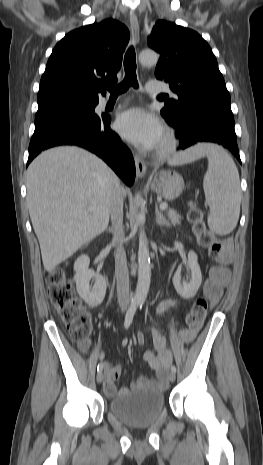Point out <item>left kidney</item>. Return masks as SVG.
<instances>
[{
	"label": "left kidney",
	"instance_id": "obj_1",
	"mask_svg": "<svg viewBox=\"0 0 263 465\" xmlns=\"http://www.w3.org/2000/svg\"><path fill=\"white\" fill-rule=\"evenodd\" d=\"M187 267L191 271V276L188 282L181 281V267L177 269L173 276V285L177 293L184 299L194 297L202 283V274L198 264V257L192 250L188 253Z\"/></svg>",
	"mask_w": 263,
	"mask_h": 465
}]
</instances>
